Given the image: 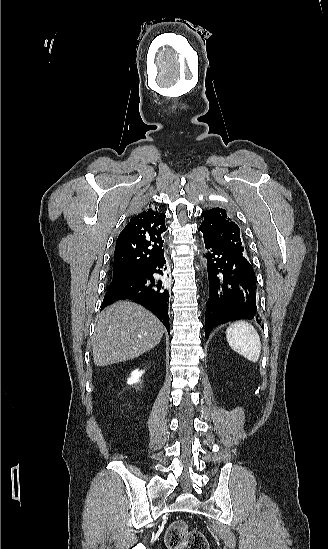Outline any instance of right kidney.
Returning <instances> with one entry per match:
<instances>
[{
	"label": "right kidney",
	"mask_w": 328,
	"mask_h": 549,
	"mask_svg": "<svg viewBox=\"0 0 328 549\" xmlns=\"http://www.w3.org/2000/svg\"><path fill=\"white\" fill-rule=\"evenodd\" d=\"M143 371H132L130 379H128V385H133V383H138L139 377H141Z\"/></svg>",
	"instance_id": "right-kidney-1"
}]
</instances>
